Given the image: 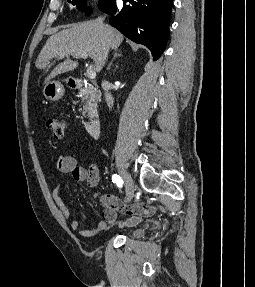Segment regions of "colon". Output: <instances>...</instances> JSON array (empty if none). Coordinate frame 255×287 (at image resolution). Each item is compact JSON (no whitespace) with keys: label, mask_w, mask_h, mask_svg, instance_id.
<instances>
[{"label":"colon","mask_w":255,"mask_h":287,"mask_svg":"<svg viewBox=\"0 0 255 287\" xmlns=\"http://www.w3.org/2000/svg\"><path fill=\"white\" fill-rule=\"evenodd\" d=\"M46 125L55 137H61L63 135L65 124L61 119L51 117L47 120Z\"/></svg>","instance_id":"5ec220e1"}]
</instances>
